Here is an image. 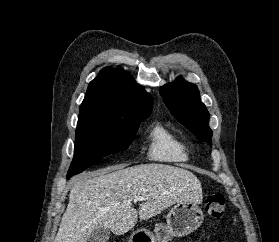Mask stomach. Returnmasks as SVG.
<instances>
[{
  "label": "stomach",
  "instance_id": "stomach-1",
  "mask_svg": "<svg viewBox=\"0 0 279 242\" xmlns=\"http://www.w3.org/2000/svg\"><path fill=\"white\" fill-rule=\"evenodd\" d=\"M202 209L194 202L179 201L170 209L166 224H156L155 235L147 229L132 233L129 242H169L172 237H182L197 230L203 223Z\"/></svg>",
  "mask_w": 279,
  "mask_h": 242
}]
</instances>
